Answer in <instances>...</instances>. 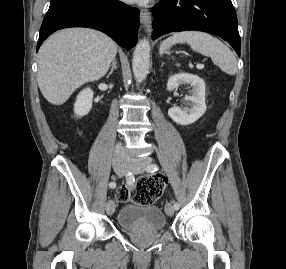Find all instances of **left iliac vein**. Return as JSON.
Instances as JSON below:
<instances>
[{
	"label": "left iliac vein",
	"instance_id": "obj_1",
	"mask_svg": "<svg viewBox=\"0 0 286 269\" xmlns=\"http://www.w3.org/2000/svg\"><path fill=\"white\" fill-rule=\"evenodd\" d=\"M150 157H143V158H132L130 159L131 169L134 173H141L144 171L146 165L151 163ZM165 212L168 216L174 215V207L172 204L167 203L165 206Z\"/></svg>",
	"mask_w": 286,
	"mask_h": 269
}]
</instances>
